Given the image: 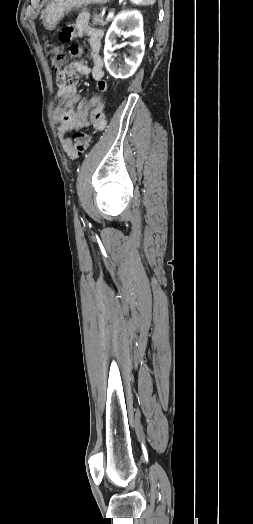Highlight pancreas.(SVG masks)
<instances>
[{
	"instance_id": "pancreas-1",
	"label": "pancreas",
	"mask_w": 253,
	"mask_h": 524,
	"mask_svg": "<svg viewBox=\"0 0 253 524\" xmlns=\"http://www.w3.org/2000/svg\"><path fill=\"white\" fill-rule=\"evenodd\" d=\"M108 21H110V20H108V19L104 20L103 15L101 13H94L93 14V24L94 25H99L101 27H104L108 23Z\"/></svg>"
}]
</instances>
